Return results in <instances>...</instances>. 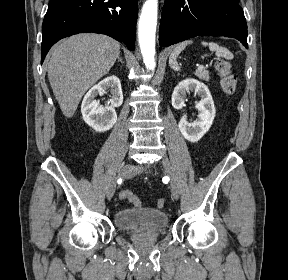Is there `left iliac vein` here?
<instances>
[{
  "mask_svg": "<svg viewBox=\"0 0 288 280\" xmlns=\"http://www.w3.org/2000/svg\"><path fill=\"white\" fill-rule=\"evenodd\" d=\"M162 164H163L165 172L169 176L172 177V168H171L168 160L164 159L162 161ZM170 186H171V192H172L173 198L174 199H178L179 198V188H178V185H177V183H176L174 178H171Z\"/></svg>",
  "mask_w": 288,
  "mask_h": 280,
  "instance_id": "4c4485c4",
  "label": "left iliac vein"
}]
</instances>
